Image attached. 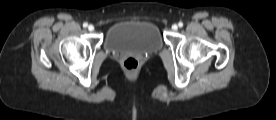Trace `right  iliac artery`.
<instances>
[{
  "mask_svg": "<svg viewBox=\"0 0 276 120\" xmlns=\"http://www.w3.org/2000/svg\"><path fill=\"white\" fill-rule=\"evenodd\" d=\"M88 26V24L85 22L83 23V27L86 28Z\"/></svg>",
  "mask_w": 276,
  "mask_h": 120,
  "instance_id": "1",
  "label": "right iliac artery"
}]
</instances>
